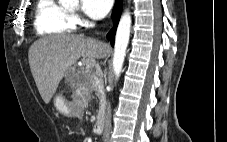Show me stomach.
Here are the masks:
<instances>
[{
  "instance_id": "obj_1",
  "label": "stomach",
  "mask_w": 227,
  "mask_h": 142,
  "mask_svg": "<svg viewBox=\"0 0 227 142\" xmlns=\"http://www.w3.org/2000/svg\"><path fill=\"white\" fill-rule=\"evenodd\" d=\"M54 103L57 109L66 114H74L75 110L65 101L62 96H56Z\"/></svg>"
}]
</instances>
